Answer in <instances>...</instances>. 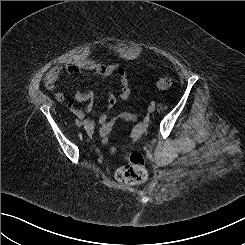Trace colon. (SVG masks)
I'll use <instances>...</instances> for the list:
<instances>
[{
	"instance_id": "5ec220e1",
	"label": "colon",
	"mask_w": 245,
	"mask_h": 245,
	"mask_svg": "<svg viewBox=\"0 0 245 245\" xmlns=\"http://www.w3.org/2000/svg\"><path fill=\"white\" fill-rule=\"evenodd\" d=\"M171 84V79L168 77H159L155 82V87L158 90L164 91L169 89ZM119 119L131 121L135 120L136 117L131 114H123L104 124L100 130L103 142L106 143L108 141V135ZM115 176L118 181L128 185H136L144 182L147 178V170L145 168L143 156L138 152L131 153L127 157L126 163L117 169Z\"/></svg>"
}]
</instances>
